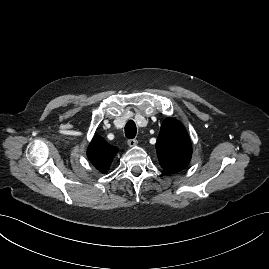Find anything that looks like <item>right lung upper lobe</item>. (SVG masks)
<instances>
[{
	"mask_svg": "<svg viewBox=\"0 0 269 269\" xmlns=\"http://www.w3.org/2000/svg\"><path fill=\"white\" fill-rule=\"evenodd\" d=\"M118 152V148L108 144L102 137L96 135L87 149L90 162L102 173H106Z\"/></svg>",
	"mask_w": 269,
	"mask_h": 269,
	"instance_id": "1",
	"label": "right lung upper lobe"
}]
</instances>
